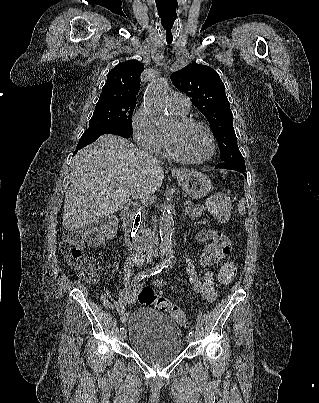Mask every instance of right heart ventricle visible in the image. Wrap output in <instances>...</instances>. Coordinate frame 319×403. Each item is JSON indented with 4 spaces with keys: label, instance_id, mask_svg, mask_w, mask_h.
I'll return each mask as SVG.
<instances>
[{
    "label": "right heart ventricle",
    "instance_id": "1",
    "mask_svg": "<svg viewBox=\"0 0 319 403\" xmlns=\"http://www.w3.org/2000/svg\"><path fill=\"white\" fill-rule=\"evenodd\" d=\"M174 114L178 117V118H183L184 115L183 114H178L176 112H174ZM163 140H164V146H163V155L172 158V154L170 151V147H169V143H168V139L166 135H163Z\"/></svg>",
    "mask_w": 319,
    "mask_h": 403
}]
</instances>
